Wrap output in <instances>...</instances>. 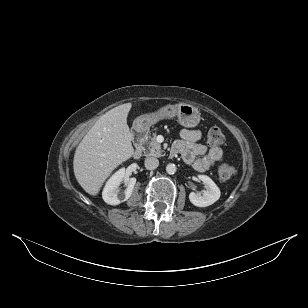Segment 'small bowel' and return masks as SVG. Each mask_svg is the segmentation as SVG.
Masks as SVG:
<instances>
[{"mask_svg":"<svg viewBox=\"0 0 308 308\" xmlns=\"http://www.w3.org/2000/svg\"><path fill=\"white\" fill-rule=\"evenodd\" d=\"M180 140L174 144V154H180L183 161L198 172H205L214 167L223 158L222 149L219 147L208 148L199 143L202 134L196 129H182Z\"/></svg>","mask_w":308,"mask_h":308,"instance_id":"small-bowel-1","label":"small bowel"}]
</instances>
